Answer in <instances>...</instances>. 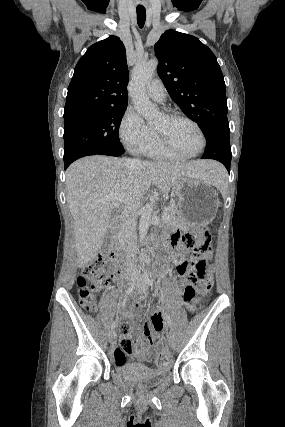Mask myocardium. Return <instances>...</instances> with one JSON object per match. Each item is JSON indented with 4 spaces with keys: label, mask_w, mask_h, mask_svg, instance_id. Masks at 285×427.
<instances>
[{
    "label": "myocardium",
    "mask_w": 285,
    "mask_h": 427,
    "mask_svg": "<svg viewBox=\"0 0 285 427\" xmlns=\"http://www.w3.org/2000/svg\"><path fill=\"white\" fill-rule=\"evenodd\" d=\"M163 115L165 118H167L169 120H176V119L177 120H183V121H186V122L190 123L191 125H193L195 127V129L197 130L199 136H200L201 145H200V148L194 153L183 152L176 145H174L171 142V140L164 133H162L161 131H159L158 129H156L154 127V131H155L157 138H158V140L162 146H164L169 151L176 153V154H178L182 157H185V158L195 157V156L199 155L204 150V148L206 146V137H205V134H204L201 126L194 119H192L186 115L177 113V112H165V113H163Z\"/></svg>",
    "instance_id": "obj_1"
}]
</instances>
